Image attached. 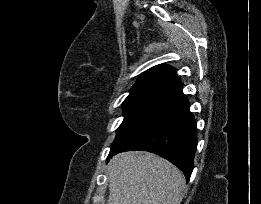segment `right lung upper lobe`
I'll return each mask as SVG.
<instances>
[{
  "instance_id": "obj_1",
  "label": "right lung upper lobe",
  "mask_w": 261,
  "mask_h": 204,
  "mask_svg": "<svg viewBox=\"0 0 261 204\" xmlns=\"http://www.w3.org/2000/svg\"><path fill=\"white\" fill-rule=\"evenodd\" d=\"M176 71L168 65H157L145 71L133 85L130 94L158 93L170 95L182 87Z\"/></svg>"
}]
</instances>
